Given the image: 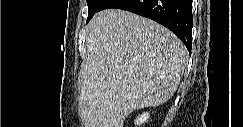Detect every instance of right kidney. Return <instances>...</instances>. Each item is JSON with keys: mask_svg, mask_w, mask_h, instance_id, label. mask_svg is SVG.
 <instances>
[{"mask_svg": "<svg viewBox=\"0 0 243 127\" xmlns=\"http://www.w3.org/2000/svg\"><path fill=\"white\" fill-rule=\"evenodd\" d=\"M149 115L150 114L148 112H144L142 115H139L135 120V124L140 126L141 124L147 122V120L149 119Z\"/></svg>", "mask_w": 243, "mask_h": 127, "instance_id": "right-kidney-1", "label": "right kidney"}]
</instances>
